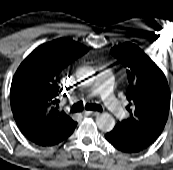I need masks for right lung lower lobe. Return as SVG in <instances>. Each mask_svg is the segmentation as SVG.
Wrapping results in <instances>:
<instances>
[{
	"label": "right lung lower lobe",
	"instance_id": "right-lung-lower-lobe-1",
	"mask_svg": "<svg viewBox=\"0 0 173 170\" xmlns=\"http://www.w3.org/2000/svg\"><path fill=\"white\" fill-rule=\"evenodd\" d=\"M76 125H77V123L73 122V124H71L69 127L65 128L47 138H43L41 140H35L32 142L35 143L36 145L43 146V147L56 145V144L60 143L61 141L65 140L66 138H68L73 133Z\"/></svg>",
	"mask_w": 173,
	"mask_h": 170
}]
</instances>
